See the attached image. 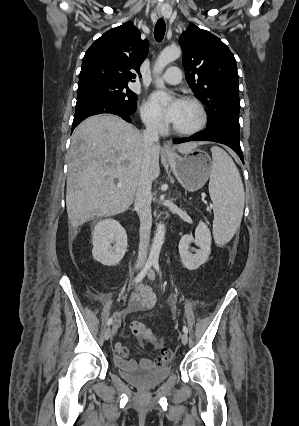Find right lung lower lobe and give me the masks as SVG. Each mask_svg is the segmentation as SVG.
Returning a JSON list of instances; mask_svg holds the SVG:
<instances>
[{
	"label": "right lung lower lobe",
	"mask_w": 299,
	"mask_h": 426,
	"mask_svg": "<svg viewBox=\"0 0 299 426\" xmlns=\"http://www.w3.org/2000/svg\"><path fill=\"white\" fill-rule=\"evenodd\" d=\"M135 109H128L120 104L102 97L84 96L77 99L76 111L72 123V131L84 119L92 115L110 113L120 116L127 122H131L130 116L134 114Z\"/></svg>",
	"instance_id": "obj_1"
}]
</instances>
